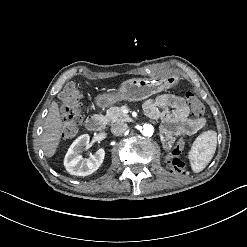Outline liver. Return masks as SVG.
I'll list each match as a JSON object with an SVG mask.
<instances>
[{"instance_id":"obj_1","label":"liver","mask_w":247,"mask_h":247,"mask_svg":"<svg viewBox=\"0 0 247 247\" xmlns=\"http://www.w3.org/2000/svg\"><path fill=\"white\" fill-rule=\"evenodd\" d=\"M62 126L63 123L58 104L57 102L52 101L44 123V132L42 136L43 151L46 157H52L55 154L61 139Z\"/></svg>"}]
</instances>
